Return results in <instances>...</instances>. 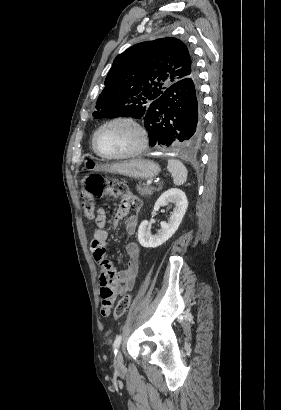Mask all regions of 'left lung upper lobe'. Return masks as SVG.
Instances as JSON below:
<instances>
[{"instance_id": "obj_1", "label": "left lung upper lobe", "mask_w": 281, "mask_h": 410, "mask_svg": "<svg viewBox=\"0 0 281 410\" xmlns=\"http://www.w3.org/2000/svg\"><path fill=\"white\" fill-rule=\"evenodd\" d=\"M193 74H197L194 60L179 39L136 44L115 58L93 116L143 119L150 104L169 86Z\"/></svg>"}]
</instances>
